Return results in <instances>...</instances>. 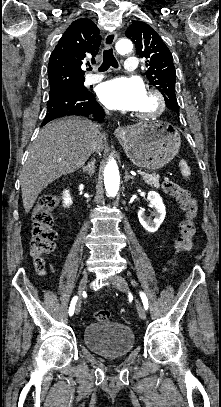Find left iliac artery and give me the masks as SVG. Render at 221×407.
<instances>
[{
  "label": "left iliac artery",
  "mask_w": 221,
  "mask_h": 407,
  "mask_svg": "<svg viewBox=\"0 0 221 407\" xmlns=\"http://www.w3.org/2000/svg\"><path fill=\"white\" fill-rule=\"evenodd\" d=\"M140 297L142 299L144 308L147 310L148 309V299H147L146 295L143 292H140Z\"/></svg>",
  "instance_id": "1"
}]
</instances>
